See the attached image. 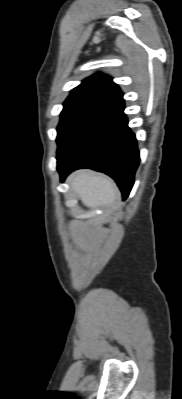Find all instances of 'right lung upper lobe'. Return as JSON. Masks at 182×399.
I'll list each match as a JSON object with an SVG mask.
<instances>
[{"instance_id": "obj_1", "label": "right lung upper lobe", "mask_w": 182, "mask_h": 399, "mask_svg": "<svg viewBox=\"0 0 182 399\" xmlns=\"http://www.w3.org/2000/svg\"><path fill=\"white\" fill-rule=\"evenodd\" d=\"M72 97H88L106 104L123 97L117 84L104 74L92 75L71 91ZM69 96V97H70Z\"/></svg>"}]
</instances>
